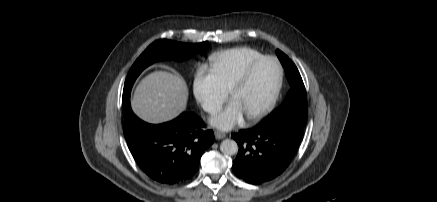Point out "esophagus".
Here are the masks:
<instances>
[{
	"mask_svg": "<svg viewBox=\"0 0 437 202\" xmlns=\"http://www.w3.org/2000/svg\"><path fill=\"white\" fill-rule=\"evenodd\" d=\"M225 137H226V134H224V133H222V132H220V131H215V138H216L217 140L223 139V138H225Z\"/></svg>",
	"mask_w": 437,
	"mask_h": 202,
	"instance_id": "1",
	"label": "esophagus"
}]
</instances>
